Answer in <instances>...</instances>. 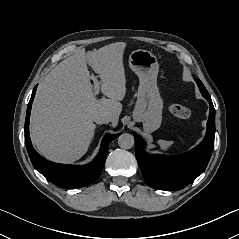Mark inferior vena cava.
Listing matches in <instances>:
<instances>
[{"label": "inferior vena cava", "mask_w": 239, "mask_h": 239, "mask_svg": "<svg viewBox=\"0 0 239 239\" xmlns=\"http://www.w3.org/2000/svg\"><path fill=\"white\" fill-rule=\"evenodd\" d=\"M111 121V116L106 113H101L95 116L94 122L97 124H105Z\"/></svg>", "instance_id": "602c4592"}]
</instances>
